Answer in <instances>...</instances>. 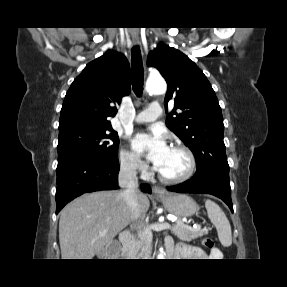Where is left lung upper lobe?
Instances as JSON below:
<instances>
[{"label": "left lung upper lobe", "mask_w": 287, "mask_h": 287, "mask_svg": "<svg viewBox=\"0 0 287 287\" xmlns=\"http://www.w3.org/2000/svg\"><path fill=\"white\" fill-rule=\"evenodd\" d=\"M147 64L156 67L168 84L165 106L174 103V108L166 125L195 156L197 171L192 178H229L222 112L204 73L185 54L162 42L149 53Z\"/></svg>", "instance_id": "5c2ea615"}]
</instances>
